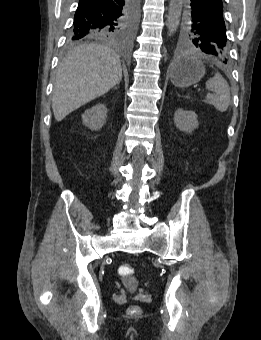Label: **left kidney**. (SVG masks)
I'll return each instance as SVG.
<instances>
[{"label": "left kidney", "instance_id": "1", "mask_svg": "<svg viewBox=\"0 0 261 340\" xmlns=\"http://www.w3.org/2000/svg\"><path fill=\"white\" fill-rule=\"evenodd\" d=\"M174 124L179 130L191 133L198 127L197 115L194 111L178 109L174 114Z\"/></svg>", "mask_w": 261, "mask_h": 340}]
</instances>
